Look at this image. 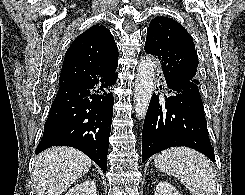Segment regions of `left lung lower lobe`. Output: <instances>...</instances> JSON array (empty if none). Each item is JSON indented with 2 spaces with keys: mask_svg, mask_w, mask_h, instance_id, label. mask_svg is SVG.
<instances>
[{
  "mask_svg": "<svg viewBox=\"0 0 245 195\" xmlns=\"http://www.w3.org/2000/svg\"><path fill=\"white\" fill-rule=\"evenodd\" d=\"M159 76L171 95H164L165 100L159 99V92L151 97L143 125L142 162L174 146L193 148L215 162L198 85L173 80L165 73Z\"/></svg>",
  "mask_w": 245,
  "mask_h": 195,
  "instance_id": "obj_1",
  "label": "left lung lower lobe"
}]
</instances>
